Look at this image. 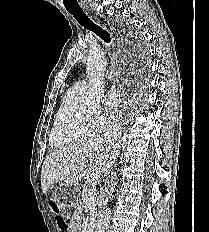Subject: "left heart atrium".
<instances>
[{
	"instance_id": "left-heart-atrium-1",
	"label": "left heart atrium",
	"mask_w": 209,
	"mask_h": 232,
	"mask_svg": "<svg viewBox=\"0 0 209 232\" xmlns=\"http://www.w3.org/2000/svg\"><path fill=\"white\" fill-rule=\"evenodd\" d=\"M120 100L119 93L116 89L111 88L104 96L103 103L108 110H115Z\"/></svg>"
}]
</instances>
